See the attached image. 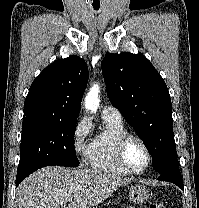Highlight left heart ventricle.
<instances>
[{
    "mask_svg": "<svg viewBox=\"0 0 199 208\" xmlns=\"http://www.w3.org/2000/svg\"><path fill=\"white\" fill-rule=\"evenodd\" d=\"M125 158L130 167L140 169L147 161V154L139 141L130 140L125 149Z\"/></svg>",
    "mask_w": 199,
    "mask_h": 208,
    "instance_id": "left-heart-ventricle-1",
    "label": "left heart ventricle"
}]
</instances>
